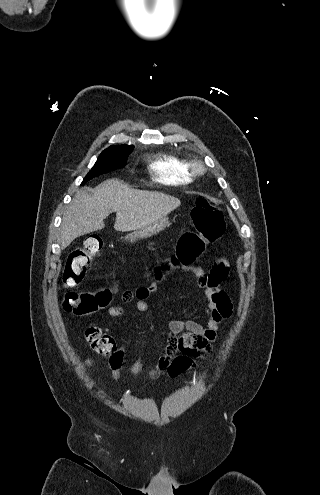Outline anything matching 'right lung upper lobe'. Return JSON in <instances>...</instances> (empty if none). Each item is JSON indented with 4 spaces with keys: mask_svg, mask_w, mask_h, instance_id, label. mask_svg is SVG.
<instances>
[{
    "mask_svg": "<svg viewBox=\"0 0 320 495\" xmlns=\"http://www.w3.org/2000/svg\"><path fill=\"white\" fill-rule=\"evenodd\" d=\"M126 150V149H133V146H128V145H112L110 147H108L107 149L105 150Z\"/></svg>",
    "mask_w": 320,
    "mask_h": 495,
    "instance_id": "right-lung-upper-lobe-1",
    "label": "right lung upper lobe"
}]
</instances>
